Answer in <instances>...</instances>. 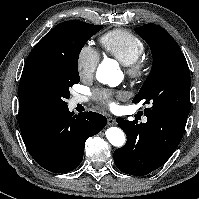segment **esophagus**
<instances>
[{
  "label": "esophagus",
  "mask_w": 199,
  "mask_h": 199,
  "mask_svg": "<svg viewBox=\"0 0 199 199\" xmlns=\"http://www.w3.org/2000/svg\"><path fill=\"white\" fill-rule=\"evenodd\" d=\"M107 123H108V125H110V126L116 124V122H115V120H114L113 118H108Z\"/></svg>",
  "instance_id": "esophagus-1"
}]
</instances>
